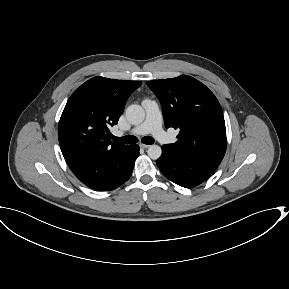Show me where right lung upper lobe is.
I'll list each match as a JSON object with an SVG mask.
<instances>
[{"mask_svg": "<svg viewBox=\"0 0 289 289\" xmlns=\"http://www.w3.org/2000/svg\"><path fill=\"white\" fill-rule=\"evenodd\" d=\"M140 81L94 77L70 96L58 125L62 154L78 179L92 189L118 173L130 145L111 144L109 126L117 124Z\"/></svg>", "mask_w": 289, "mask_h": 289, "instance_id": "cb5924a9", "label": "right lung upper lobe"}]
</instances>
